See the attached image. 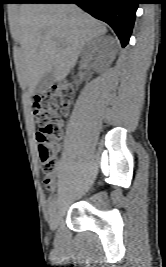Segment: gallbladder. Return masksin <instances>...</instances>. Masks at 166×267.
<instances>
[{
	"instance_id": "bac80fb5",
	"label": "gallbladder",
	"mask_w": 166,
	"mask_h": 267,
	"mask_svg": "<svg viewBox=\"0 0 166 267\" xmlns=\"http://www.w3.org/2000/svg\"><path fill=\"white\" fill-rule=\"evenodd\" d=\"M56 68L53 67L49 72L45 73L43 77L39 80L37 86L34 89V94L42 93L49 89L55 82Z\"/></svg>"
}]
</instances>
